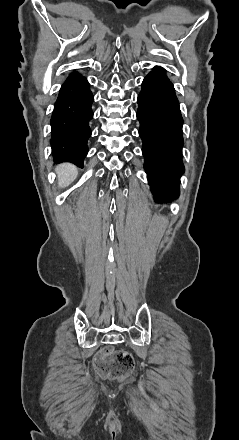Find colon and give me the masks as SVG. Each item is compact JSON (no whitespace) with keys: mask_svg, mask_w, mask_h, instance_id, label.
Returning a JSON list of instances; mask_svg holds the SVG:
<instances>
[{"mask_svg":"<svg viewBox=\"0 0 239 440\" xmlns=\"http://www.w3.org/2000/svg\"><path fill=\"white\" fill-rule=\"evenodd\" d=\"M97 372L113 380L128 376L134 368V360L130 353L121 350L101 351L95 359Z\"/></svg>","mask_w":239,"mask_h":440,"instance_id":"5ec220e1","label":"colon"}]
</instances>
